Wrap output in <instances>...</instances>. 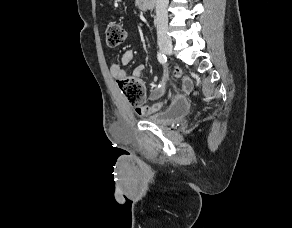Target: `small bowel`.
<instances>
[{
  "instance_id": "obj_1",
  "label": "small bowel",
  "mask_w": 292,
  "mask_h": 228,
  "mask_svg": "<svg viewBox=\"0 0 292 228\" xmlns=\"http://www.w3.org/2000/svg\"><path fill=\"white\" fill-rule=\"evenodd\" d=\"M135 57V53L132 50H127L123 53L120 62L114 63L111 65L110 71L113 77L116 79H122L128 76V73L125 69V67L133 61ZM144 71L143 65H138L133 70V76L135 78H140L142 76V73ZM167 71L164 69L162 74L163 81L166 79ZM173 77L174 78H180L182 79V85L180 92H177L172 95V104L178 103L182 100H184V95L189 94L193 89V81L188 76L183 75L182 70L179 67H175L173 71ZM165 89L164 83H160L157 85L149 94L148 99L150 101H156L163 93ZM165 107V104L163 102H157L149 107H141L136 109L137 113L141 116H151L154 114L159 113L162 111Z\"/></svg>"
}]
</instances>
